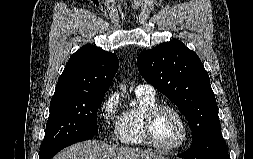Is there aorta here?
Segmentation results:
<instances>
[{"mask_svg": "<svg viewBox=\"0 0 253 159\" xmlns=\"http://www.w3.org/2000/svg\"><path fill=\"white\" fill-rule=\"evenodd\" d=\"M121 87H122V90L125 92L126 87H124L123 85H122ZM131 105L134 106V105H135V102H132Z\"/></svg>", "mask_w": 253, "mask_h": 159, "instance_id": "aorta-1", "label": "aorta"}]
</instances>
